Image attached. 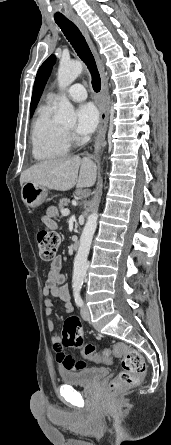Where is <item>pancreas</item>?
<instances>
[{
	"instance_id": "cf45deb5",
	"label": "pancreas",
	"mask_w": 171,
	"mask_h": 445,
	"mask_svg": "<svg viewBox=\"0 0 171 445\" xmlns=\"http://www.w3.org/2000/svg\"><path fill=\"white\" fill-rule=\"evenodd\" d=\"M70 200L67 198H63L59 201V209L62 212L65 209V206L69 204Z\"/></svg>"
}]
</instances>
